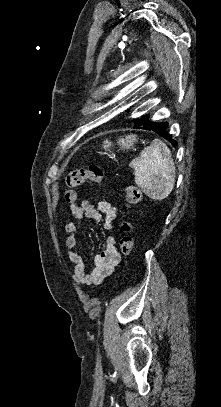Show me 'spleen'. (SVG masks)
Here are the masks:
<instances>
[{"label": "spleen", "mask_w": 221, "mask_h": 407, "mask_svg": "<svg viewBox=\"0 0 221 407\" xmlns=\"http://www.w3.org/2000/svg\"><path fill=\"white\" fill-rule=\"evenodd\" d=\"M129 166L134 169L136 185L149 198L162 200L172 192L176 167L171 151L163 141L153 140Z\"/></svg>", "instance_id": "obj_1"}]
</instances>
